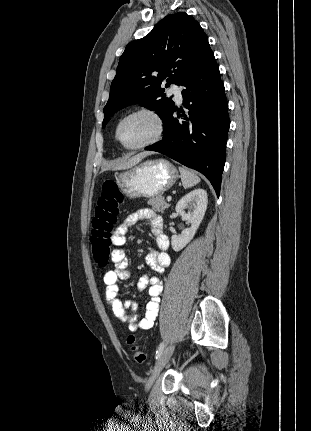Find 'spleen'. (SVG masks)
<instances>
[{"instance_id":"1","label":"spleen","mask_w":311,"mask_h":431,"mask_svg":"<svg viewBox=\"0 0 311 431\" xmlns=\"http://www.w3.org/2000/svg\"><path fill=\"white\" fill-rule=\"evenodd\" d=\"M181 174V182L183 188L187 190V188H193L196 184H199L200 178H198L195 172H190V170H186V168H178Z\"/></svg>"}]
</instances>
